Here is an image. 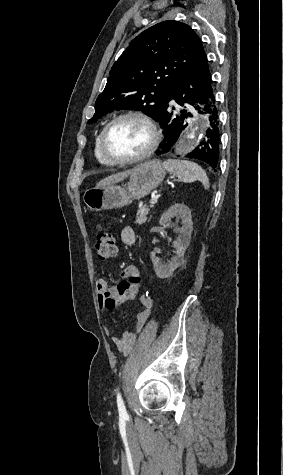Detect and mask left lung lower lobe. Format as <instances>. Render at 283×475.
Here are the masks:
<instances>
[{
    "label": "left lung lower lobe",
    "instance_id": "1",
    "mask_svg": "<svg viewBox=\"0 0 283 475\" xmlns=\"http://www.w3.org/2000/svg\"><path fill=\"white\" fill-rule=\"evenodd\" d=\"M174 99L180 106L187 103L193 106L199 113L209 114L210 128L206 131L205 138L199 145L188 154L190 158L202 160L212 167H216L219 158V121L218 111L215 106L213 93V82L208 68V60L195 69L184 74L170 90L167 104L164 111L159 116V121L164 129V141L160 145L157 155L167 153L172 150L177 142L180 133L187 127L184 119L192 117L187 110H180L176 113L175 107H171L169 102ZM202 105L204 112L200 111Z\"/></svg>",
    "mask_w": 283,
    "mask_h": 475
}]
</instances>
